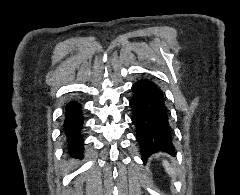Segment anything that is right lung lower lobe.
Here are the masks:
<instances>
[{
	"label": "right lung lower lobe",
	"instance_id": "right-lung-lower-lobe-1",
	"mask_svg": "<svg viewBox=\"0 0 240 195\" xmlns=\"http://www.w3.org/2000/svg\"><path fill=\"white\" fill-rule=\"evenodd\" d=\"M84 117L81 104L72 100L65 106L63 133L67 138V146L71 148V152L82 154L83 136L82 129Z\"/></svg>",
	"mask_w": 240,
	"mask_h": 195
}]
</instances>
